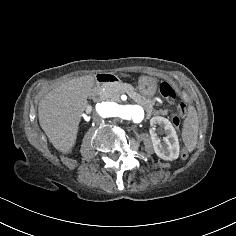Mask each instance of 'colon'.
<instances>
[{
    "label": "colon",
    "mask_w": 236,
    "mask_h": 236,
    "mask_svg": "<svg viewBox=\"0 0 236 236\" xmlns=\"http://www.w3.org/2000/svg\"><path fill=\"white\" fill-rule=\"evenodd\" d=\"M160 95L169 103L173 104L176 100V91L174 87L167 81H163L159 87ZM185 114V105L180 104L177 109V114L173 117V123L178 125L180 117Z\"/></svg>",
    "instance_id": "colon-1"
}]
</instances>
